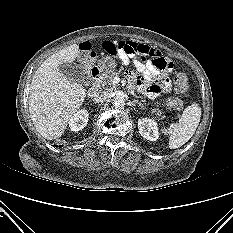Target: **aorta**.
Instances as JSON below:
<instances>
[{
	"label": "aorta",
	"instance_id": "aorta-1",
	"mask_svg": "<svg viewBox=\"0 0 233 233\" xmlns=\"http://www.w3.org/2000/svg\"><path fill=\"white\" fill-rule=\"evenodd\" d=\"M112 104L115 108L122 109L125 104V98L123 96H115L112 100Z\"/></svg>",
	"mask_w": 233,
	"mask_h": 233
}]
</instances>
